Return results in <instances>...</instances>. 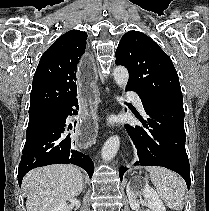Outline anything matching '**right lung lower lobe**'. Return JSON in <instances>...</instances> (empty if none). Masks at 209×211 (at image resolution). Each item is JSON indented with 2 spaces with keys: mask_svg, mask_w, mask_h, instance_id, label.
I'll return each mask as SVG.
<instances>
[{
  "mask_svg": "<svg viewBox=\"0 0 209 211\" xmlns=\"http://www.w3.org/2000/svg\"><path fill=\"white\" fill-rule=\"evenodd\" d=\"M74 107L78 108L77 98L62 103L47 121L26 138L18 169L20 186L28 171L51 164H74L83 168L89 177H92L94 163L88 155L75 150V141H72L73 137L68 133L72 129V124L68 123L67 117L76 113Z\"/></svg>",
  "mask_w": 209,
  "mask_h": 211,
  "instance_id": "obj_1",
  "label": "right lung lower lobe"
}]
</instances>
